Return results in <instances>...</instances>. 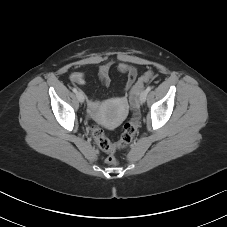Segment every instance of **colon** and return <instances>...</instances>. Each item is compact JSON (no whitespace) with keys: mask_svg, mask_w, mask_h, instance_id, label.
Masks as SVG:
<instances>
[{"mask_svg":"<svg viewBox=\"0 0 227 227\" xmlns=\"http://www.w3.org/2000/svg\"><path fill=\"white\" fill-rule=\"evenodd\" d=\"M154 73L152 71L145 72L133 86L130 91V102L135 110L133 118L126 122L123 126V130L118 143H111V141L105 136L103 130L99 126H94L92 128V135L99 146V148L108 153L106 162L110 165L117 164V158L115 156V151L119 148H124L128 146L133 140L138 126V114L136 112V96L138 92L144 87V85L150 82L154 78Z\"/></svg>","mask_w":227,"mask_h":227,"instance_id":"1","label":"colon"}]
</instances>
